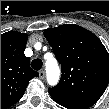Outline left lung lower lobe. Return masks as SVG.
Here are the masks:
<instances>
[{"mask_svg": "<svg viewBox=\"0 0 109 109\" xmlns=\"http://www.w3.org/2000/svg\"><path fill=\"white\" fill-rule=\"evenodd\" d=\"M49 94L51 95V97L53 98L55 102H57L59 105L67 109H86L89 107L88 105L82 102H79L77 100H74L72 98L61 95L51 90H49Z\"/></svg>", "mask_w": 109, "mask_h": 109, "instance_id": "left-lung-lower-lobe-1", "label": "left lung lower lobe"}]
</instances>
